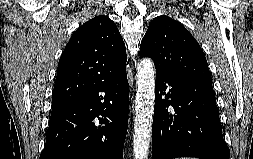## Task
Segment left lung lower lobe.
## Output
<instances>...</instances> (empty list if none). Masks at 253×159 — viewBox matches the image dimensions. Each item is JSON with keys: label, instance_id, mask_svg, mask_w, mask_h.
I'll use <instances>...</instances> for the list:
<instances>
[{"label": "left lung lower lobe", "instance_id": "left-lung-lower-lobe-1", "mask_svg": "<svg viewBox=\"0 0 253 159\" xmlns=\"http://www.w3.org/2000/svg\"><path fill=\"white\" fill-rule=\"evenodd\" d=\"M155 87L153 159H229L212 83L156 73Z\"/></svg>", "mask_w": 253, "mask_h": 159}]
</instances>
